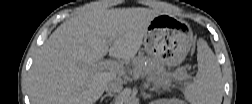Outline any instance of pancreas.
<instances>
[{"label":"pancreas","mask_w":252,"mask_h":104,"mask_svg":"<svg viewBox=\"0 0 252 104\" xmlns=\"http://www.w3.org/2000/svg\"><path fill=\"white\" fill-rule=\"evenodd\" d=\"M133 71L145 75L148 81L163 87H168L174 80L182 81L187 79V75L182 70H176L171 73L160 62H148L145 64L143 59L137 62Z\"/></svg>","instance_id":"pancreas-1"}]
</instances>
